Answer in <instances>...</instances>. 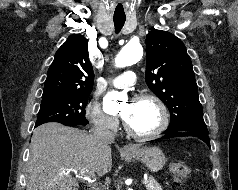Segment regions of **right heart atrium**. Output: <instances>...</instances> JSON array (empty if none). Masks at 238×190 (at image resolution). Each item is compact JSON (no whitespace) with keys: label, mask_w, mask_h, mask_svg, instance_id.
Listing matches in <instances>:
<instances>
[{"label":"right heart atrium","mask_w":238,"mask_h":190,"mask_svg":"<svg viewBox=\"0 0 238 190\" xmlns=\"http://www.w3.org/2000/svg\"><path fill=\"white\" fill-rule=\"evenodd\" d=\"M86 119L96 128L114 132L118 129L119 121L116 116L107 114L96 101H90L85 108Z\"/></svg>","instance_id":"d8ad5b80"}]
</instances>
